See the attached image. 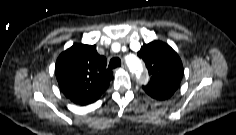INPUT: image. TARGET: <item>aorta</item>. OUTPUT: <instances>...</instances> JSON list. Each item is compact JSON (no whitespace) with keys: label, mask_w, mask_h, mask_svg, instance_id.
Masks as SVG:
<instances>
[{"label":"aorta","mask_w":236,"mask_h":135,"mask_svg":"<svg viewBox=\"0 0 236 135\" xmlns=\"http://www.w3.org/2000/svg\"><path fill=\"white\" fill-rule=\"evenodd\" d=\"M129 66H130L131 70H133L137 74H139L140 71L142 70L141 62L137 58H134L132 61H130Z\"/></svg>","instance_id":"762f6f07"}]
</instances>
